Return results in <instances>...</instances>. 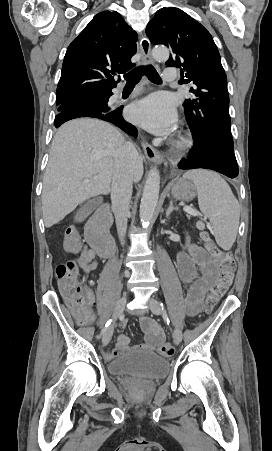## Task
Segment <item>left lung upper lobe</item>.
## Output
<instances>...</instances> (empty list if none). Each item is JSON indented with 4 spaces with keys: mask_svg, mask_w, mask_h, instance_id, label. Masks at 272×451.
Returning <instances> with one entry per match:
<instances>
[{
    "mask_svg": "<svg viewBox=\"0 0 272 451\" xmlns=\"http://www.w3.org/2000/svg\"><path fill=\"white\" fill-rule=\"evenodd\" d=\"M151 43L172 50L168 67L181 69L185 81L193 82L183 106L186 121L192 125L193 139L199 143L219 140L233 148L227 77L211 34L184 11L164 7L146 27ZM185 74V75H184Z\"/></svg>",
    "mask_w": 272,
    "mask_h": 451,
    "instance_id": "1",
    "label": "left lung upper lobe"
}]
</instances>
